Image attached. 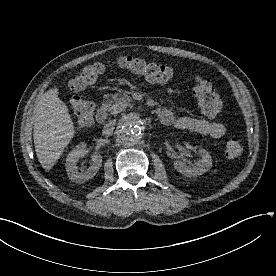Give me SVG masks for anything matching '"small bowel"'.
I'll return each mask as SVG.
<instances>
[{"mask_svg": "<svg viewBox=\"0 0 276 276\" xmlns=\"http://www.w3.org/2000/svg\"><path fill=\"white\" fill-rule=\"evenodd\" d=\"M168 92L175 95H180L181 91L177 88H168ZM164 112L162 123L167 126H172L176 129L190 130L211 138H221L226 133L224 124L203 118H192L179 116L170 109H161Z\"/></svg>", "mask_w": 276, "mask_h": 276, "instance_id": "c3829d8e", "label": "small bowel"}]
</instances>
